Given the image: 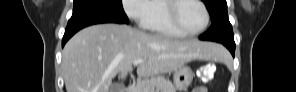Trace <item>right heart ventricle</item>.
<instances>
[{
  "mask_svg": "<svg viewBox=\"0 0 296 92\" xmlns=\"http://www.w3.org/2000/svg\"><path fill=\"white\" fill-rule=\"evenodd\" d=\"M168 2L165 0H154L150 2V16L144 28L153 33L161 34L172 38H180L183 35L178 33L168 22L167 8Z\"/></svg>",
  "mask_w": 296,
  "mask_h": 92,
  "instance_id": "1",
  "label": "right heart ventricle"
}]
</instances>
